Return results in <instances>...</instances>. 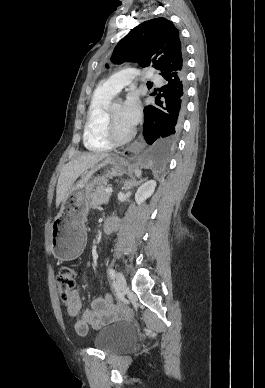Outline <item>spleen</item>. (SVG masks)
<instances>
[{"instance_id": "spleen-1", "label": "spleen", "mask_w": 265, "mask_h": 388, "mask_svg": "<svg viewBox=\"0 0 265 388\" xmlns=\"http://www.w3.org/2000/svg\"><path fill=\"white\" fill-rule=\"evenodd\" d=\"M135 176H137V178H140V176H142L141 170H135Z\"/></svg>"}]
</instances>
